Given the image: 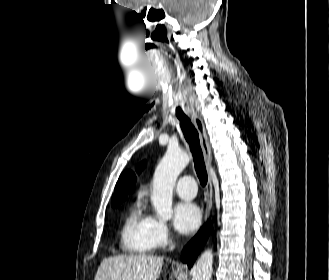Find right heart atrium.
Here are the masks:
<instances>
[{"instance_id":"d8ad5b80","label":"right heart atrium","mask_w":329,"mask_h":280,"mask_svg":"<svg viewBox=\"0 0 329 280\" xmlns=\"http://www.w3.org/2000/svg\"><path fill=\"white\" fill-rule=\"evenodd\" d=\"M151 237L155 248H162L171 242V232L164 220L153 218Z\"/></svg>"}]
</instances>
